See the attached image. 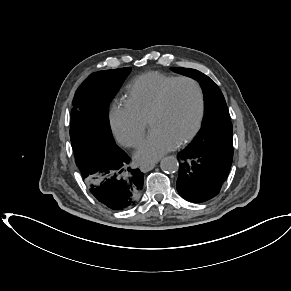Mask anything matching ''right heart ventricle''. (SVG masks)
<instances>
[{
	"mask_svg": "<svg viewBox=\"0 0 291 291\" xmlns=\"http://www.w3.org/2000/svg\"><path fill=\"white\" fill-rule=\"evenodd\" d=\"M175 78L159 72L140 75L131 83L126 103L142 120L148 122L163 89Z\"/></svg>",
	"mask_w": 291,
	"mask_h": 291,
	"instance_id": "1",
	"label": "right heart ventricle"
}]
</instances>
